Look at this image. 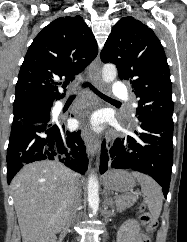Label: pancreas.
I'll use <instances>...</instances> for the list:
<instances>
[{"mask_svg":"<svg viewBox=\"0 0 187 242\" xmlns=\"http://www.w3.org/2000/svg\"><path fill=\"white\" fill-rule=\"evenodd\" d=\"M138 196L120 195L116 197V209L121 212L134 205Z\"/></svg>","mask_w":187,"mask_h":242,"instance_id":"obj_1","label":"pancreas"}]
</instances>
